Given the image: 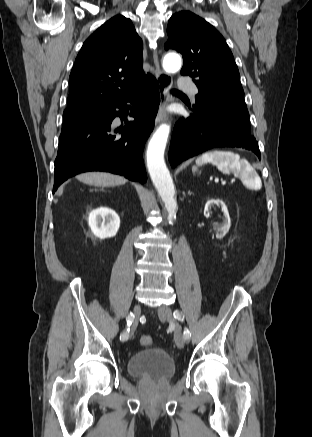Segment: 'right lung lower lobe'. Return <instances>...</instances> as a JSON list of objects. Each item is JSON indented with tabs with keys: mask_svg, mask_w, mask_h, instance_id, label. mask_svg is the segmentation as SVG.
<instances>
[{
	"mask_svg": "<svg viewBox=\"0 0 312 437\" xmlns=\"http://www.w3.org/2000/svg\"><path fill=\"white\" fill-rule=\"evenodd\" d=\"M159 101L158 82L149 76L136 90L103 109L99 117L62 132L53 192L68 178L87 171H106L146 182L143 149L153 130ZM127 102L139 106L132 108ZM128 109L135 120L115 128L113 119H125Z\"/></svg>",
	"mask_w": 312,
	"mask_h": 437,
	"instance_id": "98d812e1",
	"label": "right lung lower lobe"
}]
</instances>
